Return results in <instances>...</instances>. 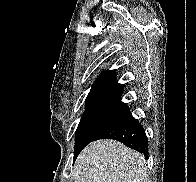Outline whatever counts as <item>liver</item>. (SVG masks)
Wrapping results in <instances>:
<instances>
[{"label":"liver","mask_w":196,"mask_h":182,"mask_svg":"<svg viewBox=\"0 0 196 182\" xmlns=\"http://www.w3.org/2000/svg\"><path fill=\"white\" fill-rule=\"evenodd\" d=\"M144 157L115 140L86 146L74 166V182H148Z\"/></svg>","instance_id":"6515ba94"}]
</instances>
